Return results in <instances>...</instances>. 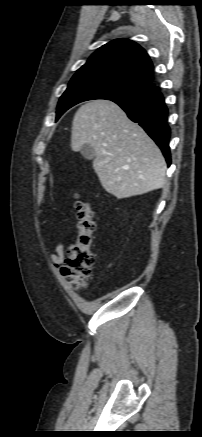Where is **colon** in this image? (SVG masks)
Masks as SVG:
<instances>
[{"label":"colon","mask_w":202,"mask_h":437,"mask_svg":"<svg viewBox=\"0 0 202 437\" xmlns=\"http://www.w3.org/2000/svg\"><path fill=\"white\" fill-rule=\"evenodd\" d=\"M77 235L68 246L61 273L69 286L80 290L87 285L95 264L94 247L95 222L88 201L76 194Z\"/></svg>","instance_id":"5ec220e1"}]
</instances>
